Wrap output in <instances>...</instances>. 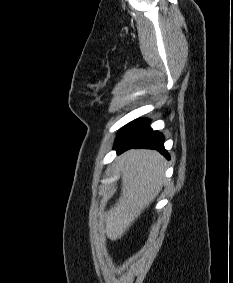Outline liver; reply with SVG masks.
<instances>
[{
	"instance_id": "6515ba94",
	"label": "liver",
	"mask_w": 233,
	"mask_h": 283,
	"mask_svg": "<svg viewBox=\"0 0 233 283\" xmlns=\"http://www.w3.org/2000/svg\"><path fill=\"white\" fill-rule=\"evenodd\" d=\"M121 196L105 215V231L111 240L120 239L162 190L165 159L155 150L132 149L118 158Z\"/></svg>"
}]
</instances>
